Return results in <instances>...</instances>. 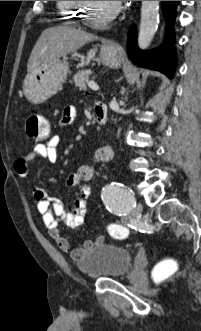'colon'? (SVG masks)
Wrapping results in <instances>:
<instances>
[{"label": "colon", "instance_id": "obj_1", "mask_svg": "<svg viewBox=\"0 0 201 331\" xmlns=\"http://www.w3.org/2000/svg\"><path fill=\"white\" fill-rule=\"evenodd\" d=\"M26 134L33 142H43L48 139L50 127L47 120L39 114H31L26 120ZM109 234L115 239H124L128 236V229L119 224L108 227ZM178 270L177 263L172 259H165L156 264L153 269V278L156 284H162L171 279Z\"/></svg>", "mask_w": 201, "mask_h": 331}]
</instances>
